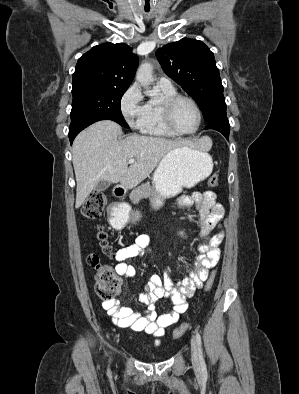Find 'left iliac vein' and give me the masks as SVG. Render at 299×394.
<instances>
[{
	"label": "left iliac vein",
	"instance_id": "left-iliac-vein-1",
	"mask_svg": "<svg viewBox=\"0 0 299 394\" xmlns=\"http://www.w3.org/2000/svg\"><path fill=\"white\" fill-rule=\"evenodd\" d=\"M191 357L194 366L198 367L200 363L198 347L195 339L191 340Z\"/></svg>",
	"mask_w": 299,
	"mask_h": 394
}]
</instances>
